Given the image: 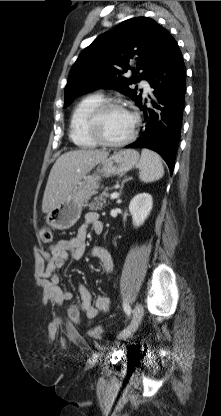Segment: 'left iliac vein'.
<instances>
[{
  "label": "left iliac vein",
  "instance_id": "4c4485c4",
  "mask_svg": "<svg viewBox=\"0 0 221 416\" xmlns=\"http://www.w3.org/2000/svg\"><path fill=\"white\" fill-rule=\"evenodd\" d=\"M143 316V307L137 303L132 311V318L126 328H124L118 335L119 339H126L130 337L138 328Z\"/></svg>",
  "mask_w": 221,
  "mask_h": 416
}]
</instances>
